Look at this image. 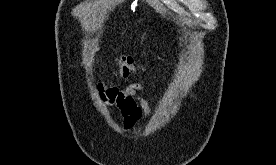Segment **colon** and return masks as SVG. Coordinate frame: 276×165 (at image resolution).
<instances>
[{"label":"colon","mask_w":276,"mask_h":165,"mask_svg":"<svg viewBox=\"0 0 276 165\" xmlns=\"http://www.w3.org/2000/svg\"><path fill=\"white\" fill-rule=\"evenodd\" d=\"M140 69L136 59L131 55H124L118 61L117 73L119 76L127 78L138 72Z\"/></svg>","instance_id":"1"}]
</instances>
